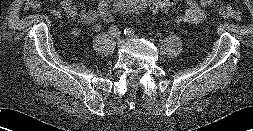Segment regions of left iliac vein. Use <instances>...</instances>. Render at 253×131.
I'll return each mask as SVG.
<instances>
[{
	"label": "left iliac vein",
	"instance_id": "obj_1",
	"mask_svg": "<svg viewBox=\"0 0 253 131\" xmlns=\"http://www.w3.org/2000/svg\"><path fill=\"white\" fill-rule=\"evenodd\" d=\"M129 38H134L135 37V35H131V36H128Z\"/></svg>",
	"mask_w": 253,
	"mask_h": 131
}]
</instances>
